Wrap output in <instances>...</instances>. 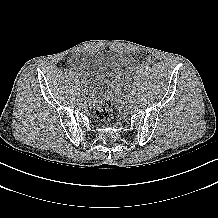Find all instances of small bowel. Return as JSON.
Masks as SVG:
<instances>
[{
  "label": "small bowel",
  "instance_id": "1",
  "mask_svg": "<svg viewBox=\"0 0 218 218\" xmlns=\"http://www.w3.org/2000/svg\"><path fill=\"white\" fill-rule=\"evenodd\" d=\"M68 62L75 66L77 64V57L76 56H70L69 59H68Z\"/></svg>",
  "mask_w": 218,
  "mask_h": 218
}]
</instances>
